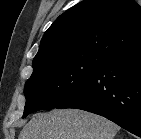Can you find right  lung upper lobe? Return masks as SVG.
Masks as SVG:
<instances>
[{
  "label": "right lung upper lobe",
  "instance_id": "1",
  "mask_svg": "<svg viewBox=\"0 0 141 139\" xmlns=\"http://www.w3.org/2000/svg\"><path fill=\"white\" fill-rule=\"evenodd\" d=\"M141 45V6L133 0H84L43 35L33 68L83 57L105 59Z\"/></svg>",
  "mask_w": 141,
  "mask_h": 139
}]
</instances>
